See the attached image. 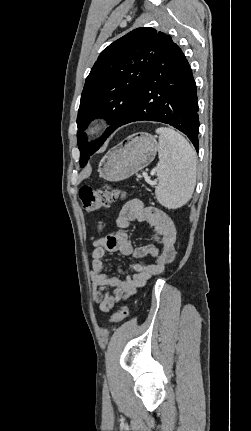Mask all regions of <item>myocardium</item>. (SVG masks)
<instances>
[{
	"label": "myocardium",
	"instance_id": "obj_1",
	"mask_svg": "<svg viewBox=\"0 0 251 431\" xmlns=\"http://www.w3.org/2000/svg\"><path fill=\"white\" fill-rule=\"evenodd\" d=\"M106 125V120L103 117H98L89 122L86 127V134L89 137H96L100 135Z\"/></svg>",
	"mask_w": 251,
	"mask_h": 431
}]
</instances>
